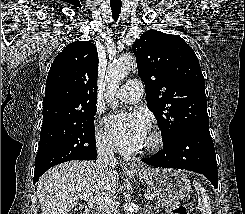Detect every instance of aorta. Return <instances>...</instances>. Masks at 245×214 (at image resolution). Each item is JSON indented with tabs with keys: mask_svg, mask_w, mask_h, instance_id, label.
<instances>
[{
	"mask_svg": "<svg viewBox=\"0 0 245 214\" xmlns=\"http://www.w3.org/2000/svg\"><path fill=\"white\" fill-rule=\"evenodd\" d=\"M135 63L134 57L123 56L118 60L112 62L107 70V87L109 90V97L107 102L109 105L116 107L118 101L114 98L116 90L119 88L121 81L127 76Z\"/></svg>",
	"mask_w": 245,
	"mask_h": 214,
	"instance_id": "obj_1",
	"label": "aorta"
}]
</instances>
